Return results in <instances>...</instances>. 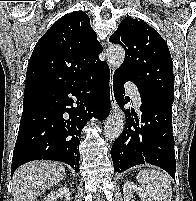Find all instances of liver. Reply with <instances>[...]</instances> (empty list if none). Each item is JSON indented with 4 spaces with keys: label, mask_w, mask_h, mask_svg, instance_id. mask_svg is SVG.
I'll use <instances>...</instances> for the list:
<instances>
[{
    "label": "liver",
    "mask_w": 196,
    "mask_h": 201,
    "mask_svg": "<svg viewBox=\"0 0 196 201\" xmlns=\"http://www.w3.org/2000/svg\"><path fill=\"white\" fill-rule=\"evenodd\" d=\"M64 176L65 168L59 162L37 160L26 163L13 175L14 201H33Z\"/></svg>",
    "instance_id": "liver-1"
}]
</instances>
